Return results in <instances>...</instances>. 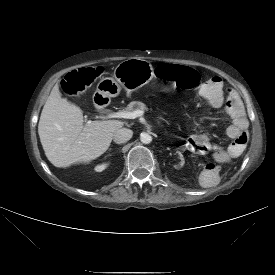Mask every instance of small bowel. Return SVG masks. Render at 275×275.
I'll use <instances>...</instances> for the list:
<instances>
[{"label":"small bowel","mask_w":275,"mask_h":275,"mask_svg":"<svg viewBox=\"0 0 275 275\" xmlns=\"http://www.w3.org/2000/svg\"><path fill=\"white\" fill-rule=\"evenodd\" d=\"M202 96L208 106L219 108L224 102V90L221 78L214 76L202 88ZM227 113L231 119V124L227 128V134L231 138H237L242 132L246 131L248 121L238 96L229 91L227 95ZM185 149L192 156H205L208 159L201 162L199 166L200 174L196 179L199 189L208 191L215 187L216 183L222 176L221 166L226 162H230L232 158L239 154H229V152L221 149H212V143L207 136L192 137L187 140Z\"/></svg>","instance_id":"1"}]
</instances>
